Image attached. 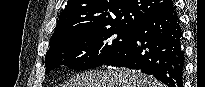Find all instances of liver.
Wrapping results in <instances>:
<instances>
[{
    "mask_svg": "<svg viewBox=\"0 0 205 87\" xmlns=\"http://www.w3.org/2000/svg\"><path fill=\"white\" fill-rule=\"evenodd\" d=\"M63 87H163V85L138 71L109 68L77 75Z\"/></svg>",
    "mask_w": 205,
    "mask_h": 87,
    "instance_id": "1",
    "label": "liver"
}]
</instances>
